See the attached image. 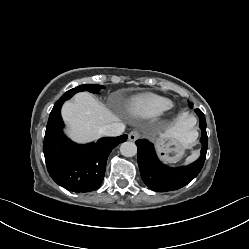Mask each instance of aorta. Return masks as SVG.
Returning <instances> with one entry per match:
<instances>
[{
  "label": "aorta",
  "instance_id": "obj_1",
  "mask_svg": "<svg viewBox=\"0 0 249 249\" xmlns=\"http://www.w3.org/2000/svg\"><path fill=\"white\" fill-rule=\"evenodd\" d=\"M120 152L125 157H132L137 153V146L133 142L126 141L121 144Z\"/></svg>",
  "mask_w": 249,
  "mask_h": 249
}]
</instances>
